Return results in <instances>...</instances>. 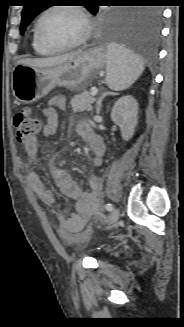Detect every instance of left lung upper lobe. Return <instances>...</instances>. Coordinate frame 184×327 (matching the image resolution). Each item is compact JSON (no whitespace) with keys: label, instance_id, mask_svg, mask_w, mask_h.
I'll return each mask as SVG.
<instances>
[{"label":"left lung upper lobe","instance_id":"1","mask_svg":"<svg viewBox=\"0 0 184 327\" xmlns=\"http://www.w3.org/2000/svg\"><path fill=\"white\" fill-rule=\"evenodd\" d=\"M26 3L22 11L21 34L24 33L26 27L40 12L48 8L47 1L45 0H28ZM87 9L93 15L99 13V7L97 5L87 6ZM100 14L107 28L119 29L126 24L121 21V13L117 10H110Z\"/></svg>","mask_w":184,"mask_h":327}]
</instances>
